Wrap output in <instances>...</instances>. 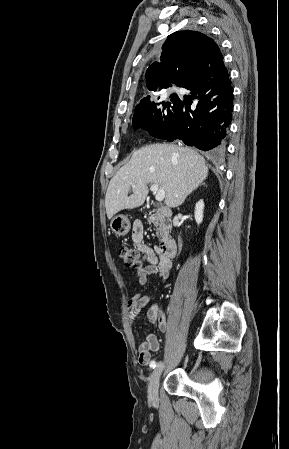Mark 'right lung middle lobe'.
<instances>
[{"instance_id": "obj_1", "label": "right lung middle lobe", "mask_w": 289, "mask_h": 449, "mask_svg": "<svg viewBox=\"0 0 289 449\" xmlns=\"http://www.w3.org/2000/svg\"><path fill=\"white\" fill-rule=\"evenodd\" d=\"M170 101L155 102L153 98H146L136 106L132 124L135 129L141 127L149 130L151 135H159L172 121L179 98L176 94L170 96Z\"/></svg>"}]
</instances>
